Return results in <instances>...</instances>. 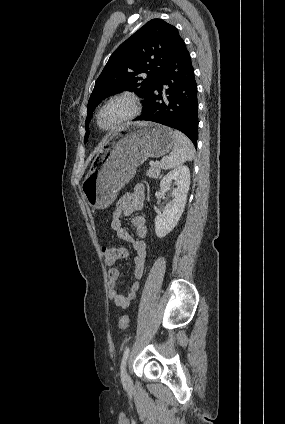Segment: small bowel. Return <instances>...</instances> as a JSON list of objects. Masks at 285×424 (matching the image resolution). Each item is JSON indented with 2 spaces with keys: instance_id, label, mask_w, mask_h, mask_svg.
<instances>
[{
  "instance_id": "small-bowel-1",
  "label": "small bowel",
  "mask_w": 285,
  "mask_h": 424,
  "mask_svg": "<svg viewBox=\"0 0 285 424\" xmlns=\"http://www.w3.org/2000/svg\"><path fill=\"white\" fill-rule=\"evenodd\" d=\"M145 198V189L142 185H138L132 193L125 194L119 201L117 209L111 221V228L116 236L129 242L135 250L133 275L135 281L131 284L126 295L122 294L119 289L120 271L117 268H111L108 271L109 298L114 304L120 308H127L136 298L140 288L139 280L142 278L145 262L147 257V249L144 238L147 235V226L143 216L136 215L131 218V224L135 229L136 237L132 236L123 226V221L130 217L133 213L143 207ZM123 257L128 255V251L121 248Z\"/></svg>"
}]
</instances>
